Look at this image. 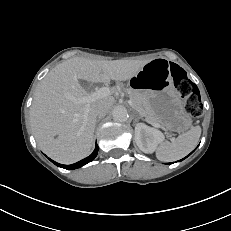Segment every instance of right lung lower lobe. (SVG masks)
<instances>
[{
    "mask_svg": "<svg viewBox=\"0 0 231 231\" xmlns=\"http://www.w3.org/2000/svg\"><path fill=\"white\" fill-rule=\"evenodd\" d=\"M99 151V147L97 146L96 144V147H95V150L93 151V153L86 157L85 159H82L81 161L77 162V163H74L72 165H62V164H59V163H56L54 162L53 160H51L55 165L59 166V167H62L64 169H68V170H73V169H76V168H80L82 166H84L85 164L91 162L96 156H97V153Z\"/></svg>",
    "mask_w": 231,
    "mask_h": 231,
    "instance_id": "right-lung-lower-lobe-1",
    "label": "right lung lower lobe"
}]
</instances>
